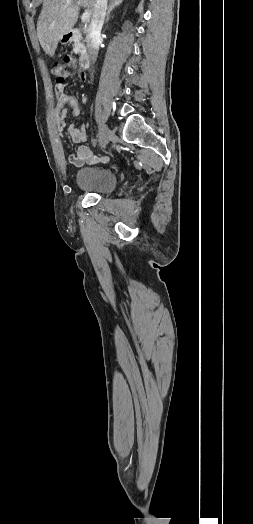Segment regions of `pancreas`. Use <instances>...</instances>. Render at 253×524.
<instances>
[{"mask_svg":"<svg viewBox=\"0 0 253 524\" xmlns=\"http://www.w3.org/2000/svg\"><path fill=\"white\" fill-rule=\"evenodd\" d=\"M73 51L76 54H80L81 56L84 55V53H85V46L83 45V43L79 39H75L74 40Z\"/></svg>","mask_w":253,"mask_h":524,"instance_id":"1","label":"pancreas"}]
</instances>
